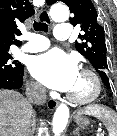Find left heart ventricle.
<instances>
[{"label": "left heart ventricle", "instance_id": "b2bd125f", "mask_svg": "<svg viewBox=\"0 0 117 136\" xmlns=\"http://www.w3.org/2000/svg\"><path fill=\"white\" fill-rule=\"evenodd\" d=\"M93 90L91 80L84 75L79 74L69 93L77 97H86Z\"/></svg>", "mask_w": 117, "mask_h": 136}]
</instances>
